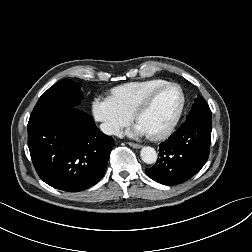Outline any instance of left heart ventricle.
I'll use <instances>...</instances> for the list:
<instances>
[{"mask_svg": "<svg viewBox=\"0 0 252 252\" xmlns=\"http://www.w3.org/2000/svg\"><path fill=\"white\" fill-rule=\"evenodd\" d=\"M181 99L178 88L163 89L155 97L151 106L140 115L138 122L144 125L150 134L166 129L173 121L180 107Z\"/></svg>", "mask_w": 252, "mask_h": 252, "instance_id": "left-heart-ventricle-1", "label": "left heart ventricle"}]
</instances>
